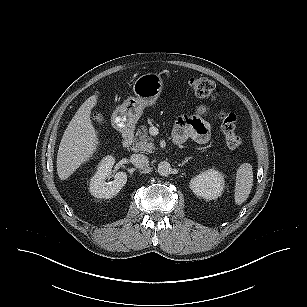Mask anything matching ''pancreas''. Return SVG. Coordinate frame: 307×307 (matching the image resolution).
Listing matches in <instances>:
<instances>
[{"label": "pancreas", "instance_id": "cf45deb5", "mask_svg": "<svg viewBox=\"0 0 307 307\" xmlns=\"http://www.w3.org/2000/svg\"><path fill=\"white\" fill-rule=\"evenodd\" d=\"M137 138L134 141L132 150L141 153H152L155 148L153 138L148 134V129L145 125L137 131Z\"/></svg>", "mask_w": 307, "mask_h": 307}]
</instances>
